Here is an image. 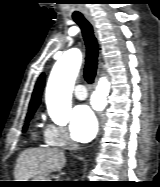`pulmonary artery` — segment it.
I'll return each instance as SVG.
<instances>
[{"label":"pulmonary artery","instance_id":"pulmonary-artery-1","mask_svg":"<svg viewBox=\"0 0 160 187\" xmlns=\"http://www.w3.org/2000/svg\"><path fill=\"white\" fill-rule=\"evenodd\" d=\"M74 95L79 100H84L87 97V92L85 89V86L82 84H79L75 87Z\"/></svg>","mask_w":160,"mask_h":187}]
</instances>
